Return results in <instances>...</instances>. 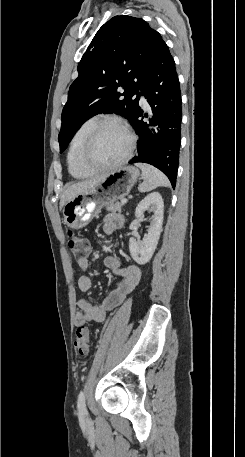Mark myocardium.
Listing matches in <instances>:
<instances>
[{"label":"myocardium","mask_w":245,"mask_h":457,"mask_svg":"<svg viewBox=\"0 0 245 457\" xmlns=\"http://www.w3.org/2000/svg\"><path fill=\"white\" fill-rule=\"evenodd\" d=\"M106 128H115L122 133H124L128 140V146L127 149L124 151V153L116 158L113 162L109 163L106 166L103 167H93L89 165L86 161V153L87 150L90 148V146L95 142L97 136L99 133L106 129ZM135 144H136V137L135 134L131 131V129L124 124L123 122L119 120H114V119H104L97 121L94 126L90 129L88 132L85 141L82 145V147L79 150L78 153V163L81 166L83 170H85L89 174H97L100 172L104 171H110L112 169H115L125 163L132 155L134 149H135Z\"/></svg>","instance_id":"obj_1"}]
</instances>
